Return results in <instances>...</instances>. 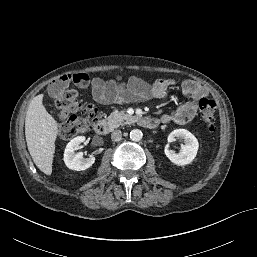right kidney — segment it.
<instances>
[{
  "label": "right kidney",
  "mask_w": 257,
  "mask_h": 257,
  "mask_svg": "<svg viewBox=\"0 0 257 257\" xmlns=\"http://www.w3.org/2000/svg\"><path fill=\"white\" fill-rule=\"evenodd\" d=\"M85 139L86 138L84 136L75 137L67 144L65 148L63 160L66 166L71 170H86L95 162L94 157L83 158L82 152L76 153V151L80 148V144L84 142Z\"/></svg>",
  "instance_id": "ca27d5eb"
}]
</instances>
